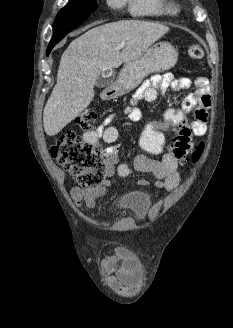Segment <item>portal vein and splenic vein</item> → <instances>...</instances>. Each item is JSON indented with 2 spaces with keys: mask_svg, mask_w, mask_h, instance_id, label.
I'll return each instance as SVG.
<instances>
[{
  "mask_svg": "<svg viewBox=\"0 0 233 328\" xmlns=\"http://www.w3.org/2000/svg\"><path fill=\"white\" fill-rule=\"evenodd\" d=\"M124 46H125L124 43H121L118 45V49H122Z\"/></svg>",
  "mask_w": 233,
  "mask_h": 328,
  "instance_id": "1",
  "label": "portal vein and splenic vein"
}]
</instances>
